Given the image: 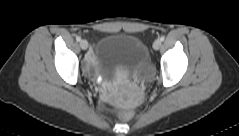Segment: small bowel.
I'll list each match as a JSON object with an SVG mask.
<instances>
[{
	"label": "small bowel",
	"mask_w": 239,
	"mask_h": 136,
	"mask_svg": "<svg viewBox=\"0 0 239 136\" xmlns=\"http://www.w3.org/2000/svg\"><path fill=\"white\" fill-rule=\"evenodd\" d=\"M87 62H88V66H90L93 63V58L89 57Z\"/></svg>",
	"instance_id": "obj_1"
}]
</instances>
